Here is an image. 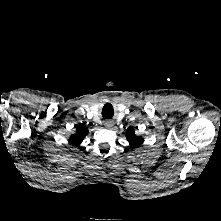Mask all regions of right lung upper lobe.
Returning a JSON list of instances; mask_svg holds the SVG:
<instances>
[{
  "instance_id": "obj_1",
  "label": "right lung upper lobe",
  "mask_w": 221,
  "mask_h": 221,
  "mask_svg": "<svg viewBox=\"0 0 221 221\" xmlns=\"http://www.w3.org/2000/svg\"><path fill=\"white\" fill-rule=\"evenodd\" d=\"M87 134H88V128L85 125L81 124L80 126L77 127L76 133L70 137V142L73 145L78 146Z\"/></svg>"
}]
</instances>
